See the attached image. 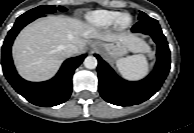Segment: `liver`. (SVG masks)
Returning a JSON list of instances; mask_svg holds the SVG:
<instances>
[{
  "label": "liver",
  "mask_w": 194,
  "mask_h": 133,
  "mask_svg": "<svg viewBox=\"0 0 194 133\" xmlns=\"http://www.w3.org/2000/svg\"><path fill=\"white\" fill-rule=\"evenodd\" d=\"M122 42L134 53L148 52L149 46L139 37L98 32L78 19L49 16L26 26L17 36L12 54L19 74L29 81H44L55 75L68 56L64 47L77 46L84 51L88 39Z\"/></svg>",
  "instance_id": "1"
}]
</instances>
